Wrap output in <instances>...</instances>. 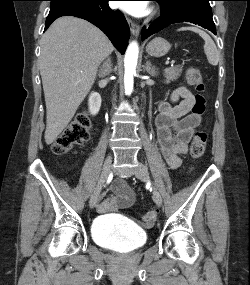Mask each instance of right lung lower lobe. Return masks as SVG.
<instances>
[{"instance_id": "98d812e1", "label": "right lung lower lobe", "mask_w": 250, "mask_h": 285, "mask_svg": "<svg viewBox=\"0 0 250 285\" xmlns=\"http://www.w3.org/2000/svg\"><path fill=\"white\" fill-rule=\"evenodd\" d=\"M109 0H95L90 4L67 6L50 11L45 30L61 16H75L85 19L100 28L111 40L115 48L124 54L130 37L127 21L120 11L110 9Z\"/></svg>"}]
</instances>
